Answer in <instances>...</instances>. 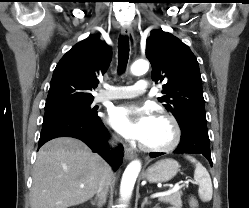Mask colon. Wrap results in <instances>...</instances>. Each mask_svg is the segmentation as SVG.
<instances>
[{
	"label": "colon",
	"instance_id": "1",
	"mask_svg": "<svg viewBox=\"0 0 249 208\" xmlns=\"http://www.w3.org/2000/svg\"><path fill=\"white\" fill-rule=\"evenodd\" d=\"M189 203L191 208H198V201L195 197H191Z\"/></svg>",
	"mask_w": 249,
	"mask_h": 208
}]
</instances>
